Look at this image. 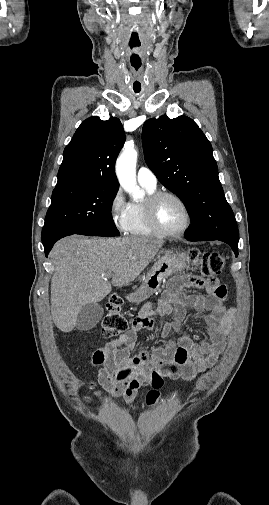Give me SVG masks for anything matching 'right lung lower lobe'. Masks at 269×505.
I'll return each instance as SVG.
<instances>
[{
  "label": "right lung lower lobe",
  "instance_id": "right-lung-lower-lobe-1",
  "mask_svg": "<svg viewBox=\"0 0 269 505\" xmlns=\"http://www.w3.org/2000/svg\"><path fill=\"white\" fill-rule=\"evenodd\" d=\"M73 233H60V234H56L50 238H48L47 240L43 241V245H44V248H45V255L47 256L48 253L50 252L52 246L54 245V243L56 241H58L60 238L62 237H65V236H68V235H72Z\"/></svg>",
  "mask_w": 269,
  "mask_h": 505
}]
</instances>
